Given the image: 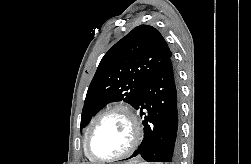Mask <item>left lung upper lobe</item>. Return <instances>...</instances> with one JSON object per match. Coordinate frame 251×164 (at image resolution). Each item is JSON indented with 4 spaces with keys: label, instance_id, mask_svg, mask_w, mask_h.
Instances as JSON below:
<instances>
[{
    "label": "left lung upper lobe",
    "instance_id": "left-lung-upper-lobe-1",
    "mask_svg": "<svg viewBox=\"0 0 251 164\" xmlns=\"http://www.w3.org/2000/svg\"><path fill=\"white\" fill-rule=\"evenodd\" d=\"M171 56L157 29L135 27L102 58L87 91L81 128L109 102L124 100L135 108L147 81Z\"/></svg>",
    "mask_w": 251,
    "mask_h": 164
}]
</instances>
